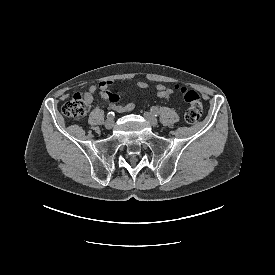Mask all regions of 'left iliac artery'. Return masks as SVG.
I'll list each match as a JSON object with an SVG mask.
<instances>
[{
	"mask_svg": "<svg viewBox=\"0 0 275 275\" xmlns=\"http://www.w3.org/2000/svg\"><path fill=\"white\" fill-rule=\"evenodd\" d=\"M151 112H152V114L154 115V116H158V114H159V110H158V108L157 107H151Z\"/></svg>",
	"mask_w": 275,
	"mask_h": 275,
	"instance_id": "44dca946",
	"label": "left iliac artery"
}]
</instances>
